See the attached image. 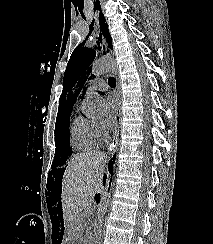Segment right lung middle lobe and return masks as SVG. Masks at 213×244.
<instances>
[{"label":"right lung middle lobe","mask_w":213,"mask_h":244,"mask_svg":"<svg viewBox=\"0 0 213 244\" xmlns=\"http://www.w3.org/2000/svg\"><path fill=\"white\" fill-rule=\"evenodd\" d=\"M71 111L59 117L58 127L55 132V144H56V153L51 166V171L49 172V179L53 180V177L56 178L57 174L64 163L66 162L68 156L72 154V148L70 147L69 141V119Z\"/></svg>","instance_id":"obj_1"}]
</instances>
